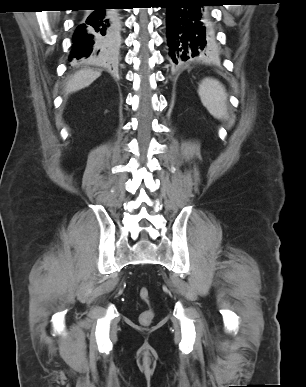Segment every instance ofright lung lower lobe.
<instances>
[{"mask_svg":"<svg viewBox=\"0 0 306 387\" xmlns=\"http://www.w3.org/2000/svg\"><path fill=\"white\" fill-rule=\"evenodd\" d=\"M94 10L78 14L69 60L79 63H111L118 53V9L113 3H96Z\"/></svg>","mask_w":306,"mask_h":387,"instance_id":"right-lung-lower-lobe-1","label":"right lung lower lobe"}]
</instances>
